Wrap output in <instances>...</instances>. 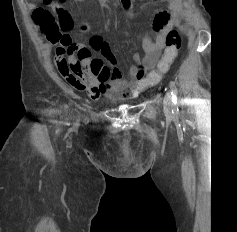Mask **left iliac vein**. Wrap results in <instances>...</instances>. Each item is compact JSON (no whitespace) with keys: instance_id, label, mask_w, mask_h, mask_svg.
<instances>
[{"instance_id":"1","label":"left iliac vein","mask_w":237,"mask_h":232,"mask_svg":"<svg viewBox=\"0 0 237 232\" xmlns=\"http://www.w3.org/2000/svg\"><path fill=\"white\" fill-rule=\"evenodd\" d=\"M172 95L171 93H167L165 98H164V108L167 112L171 111L172 108Z\"/></svg>"}]
</instances>
